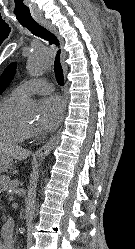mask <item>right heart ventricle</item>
<instances>
[{"instance_id": "e07e8e85", "label": "right heart ventricle", "mask_w": 135, "mask_h": 249, "mask_svg": "<svg viewBox=\"0 0 135 249\" xmlns=\"http://www.w3.org/2000/svg\"><path fill=\"white\" fill-rule=\"evenodd\" d=\"M21 99L12 92L0 101V143L18 144L29 134L28 129L16 114V108Z\"/></svg>"}]
</instances>
